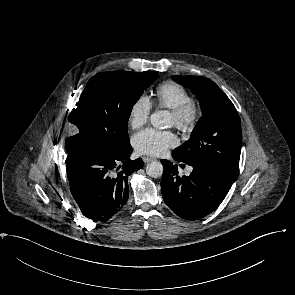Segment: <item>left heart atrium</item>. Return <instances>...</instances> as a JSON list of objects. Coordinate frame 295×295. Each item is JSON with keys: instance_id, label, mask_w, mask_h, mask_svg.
I'll use <instances>...</instances> for the list:
<instances>
[{"instance_id": "obj_1", "label": "left heart atrium", "mask_w": 295, "mask_h": 295, "mask_svg": "<svg viewBox=\"0 0 295 295\" xmlns=\"http://www.w3.org/2000/svg\"><path fill=\"white\" fill-rule=\"evenodd\" d=\"M133 146L139 154L160 156L178 143L171 131H160L152 128L137 133L132 139Z\"/></svg>"}]
</instances>
